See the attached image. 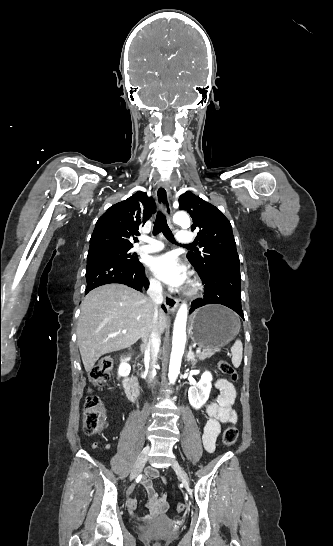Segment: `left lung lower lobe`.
Listing matches in <instances>:
<instances>
[{
  "label": "left lung lower lobe",
  "mask_w": 333,
  "mask_h": 546,
  "mask_svg": "<svg viewBox=\"0 0 333 546\" xmlns=\"http://www.w3.org/2000/svg\"><path fill=\"white\" fill-rule=\"evenodd\" d=\"M205 284L204 296L191 303L190 312L208 304H221L238 313L243 319L241 308V276L237 268L218 271L207 279L201 278Z\"/></svg>",
  "instance_id": "0a47b994"
}]
</instances>
